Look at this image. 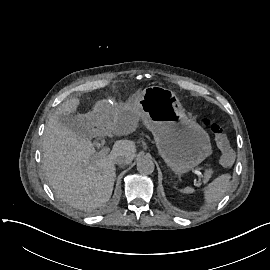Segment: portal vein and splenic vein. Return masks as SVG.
<instances>
[{"instance_id":"18ae733b","label":"portal vein and splenic vein","mask_w":270,"mask_h":270,"mask_svg":"<svg viewBox=\"0 0 270 270\" xmlns=\"http://www.w3.org/2000/svg\"><path fill=\"white\" fill-rule=\"evenodd\" d=\"M110 152V149L108 148V147H104V148H101L100 150H99V153L101 154V155H105V154H108ZM192 173L193 172H195L198 176L200 175L202 178L205 176L203 173L201 174V170H197V169H191L190 170ZM204 183H206V181L204 180L203 181Z\"/></svg>"}]
</instances>
